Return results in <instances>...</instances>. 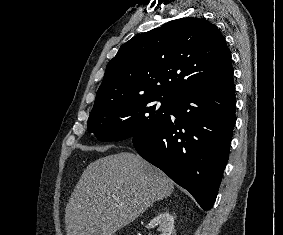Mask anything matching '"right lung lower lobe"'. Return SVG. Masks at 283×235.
<instances>
[{
	"label": "right lung lower lobe",
	"instance_id": "right-lung-lower-lobe-1",
	"mask_svg": "<svg viewBox=\"0 0 283 235\" xmlns=\"http://www.w3.org/2000/svg\"><path fill=\"white\" fill-rule=\"evenodd\" d=\"M233 73L181 92L167 119L132 139L141 157L188 190L204 210L215 202L236 122Z\"/></svg>",
	"mask_w": 283,
	"mask_h": 235
}]
</instances>
